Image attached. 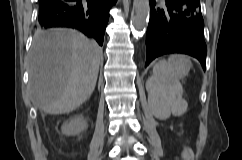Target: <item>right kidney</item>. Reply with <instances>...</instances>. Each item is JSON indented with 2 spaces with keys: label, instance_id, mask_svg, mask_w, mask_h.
Instances as JSON below:
<instances>
[{
  "label": "right kidney",
  "instance_id": "right-kidney-1",
  "mask_svg": "<svg viewBox=\"0 0 242 160\" xmlns=\"http://www.w3.org/2000/svg\"><path fill=\"white\" fill-rule=\"evenodd\" d=\"M87 128V122L82 116H75L69 122L62 125L61 130L64 135H78Z\"/></svg>",
  "mask_w": 242,
  "mask_h": 160
}]
</instances>
